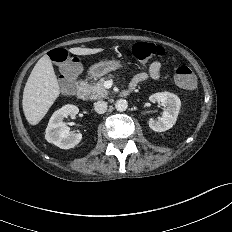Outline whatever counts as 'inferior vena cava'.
<instances>
[{"instance_id":"inferior-vena-cava-1","label":"inferior vena cava","mask_w":232,"mask_h":232,"mask_svg":"<svg viewBox=\"0 0 232 232\" xmlns=\"http://www.w3.org/2000/svg\"><path fill=\"white\" fill-rule=\"evenodd\" d=\"M95 111L99 114H103L107 110V103L105 101H97L94 103Z\"/></svg>"}]
</instances>
